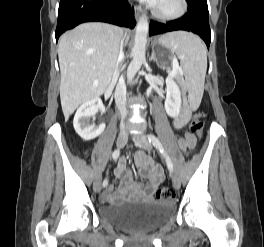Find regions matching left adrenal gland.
I'll return each instance as SVG.
<instances>
[{"label":"left adrenal gland","instance_id":"1","mask_svg":"<svg viewBox=\"0 0 264 247\" xmlns=\"http://www.w3.org/2000/svg\"><path fill=\"white\" fill-rule=\"evenodd\" d=\"M152 60L157 62V59H156V55H155V51L154 50L152 51L151 57L149 58V61H152Z\"/></svg>","mask_w":264,"mask_h":247}]
</instances>
